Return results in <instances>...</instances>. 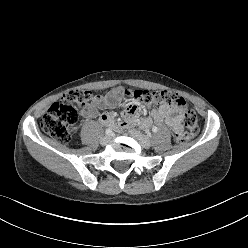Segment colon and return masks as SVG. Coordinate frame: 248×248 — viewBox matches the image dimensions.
I'll use <instances>...</instances> for the list:
<instances>
[{
  "mask_svg": "<svg viewBox=\"0 0 248 248\" xmlns=\"http://www.w3.org/2000/svg\"><path fill=\"white\" fill-rule=\"evenodd\" d=\"M94 98V94L88 90L75 89L67 92L57 102L53 103L42 117V130L56 141L67 143L77 121L78 110L89 107ZM128 101L147 108L166 104L183 111L185 130L175 134V141L178 143L188 141L199 132V123L195 112L188 109L185 99L175 92L129 91Z\"/></svg>",
  "mask_w": 248,
  "mask_h": 248,
  "instance_id": "1",
  "label": "colon"
}]
</instances>
